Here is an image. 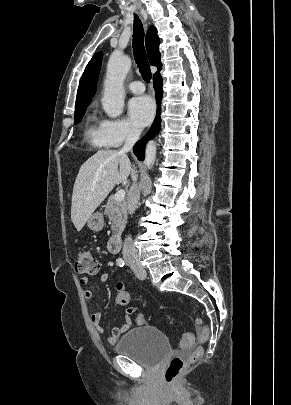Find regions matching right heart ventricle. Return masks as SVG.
I'll return each instance as SVG.
<instances>
[{"mask_svg":"<svg viewBox=\"0 0 291 405\" xmlns=\"http://www.w3.org/2000/svg\"><path fill=\"white\" fill-rule=\"evenodd\" d=\"M85 135L94 146L100 148L107 147L101 135L100 122L94 114L88 117Z\"/></svg>","mask_w":291,"mask_h":405,"instance_id":"1","label":"right heart ventricle"}]
</instances>
